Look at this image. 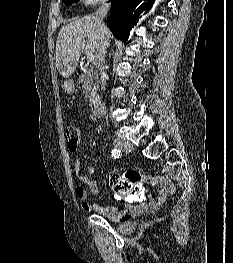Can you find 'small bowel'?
<instances>
[{"label": "small bowel", "mask_w": 233, "mask_h": 263, "mask_svg": "<svg viewBox=\"0 0 233 263\" xmlns=\"http://www.w3.org/2000/svg\"><path fill=\"white\" fill-rule=\"evenodd\" d=\"M76 177L78 180L87 187L94 195L99 193V187L97 183L90 177L95 173V168L92 166L87 167L86 172L82 168L80 160H76L74 164ZM121 176V174H119ZM148 184H157V196L153 197L148 195L147 199L141 197L137 200V204L131 206L128 209L122 210L115 206H102L99 203L90 204L87 202V191L82 186L75 187V196L79 200L81 208L86 212H97L106 216L108 219L115 222H125L130 220L134 215L142 213L146 210H156L161 207L167 200V198L174 193L175 185L172 179L167 176L158 177H145L142 179Z\"/></svg>", "instance_id": "c3829d8e"}]
</instances>
